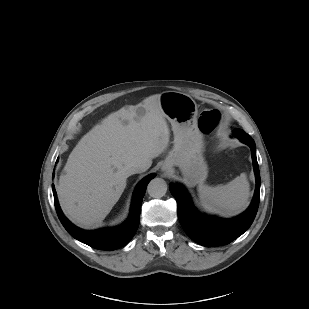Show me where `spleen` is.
I'll list each match as a JSON object with an SVG mask.
<instances>
[{"label":"spleen","mask_w":309,"mask_h":309,"mask_svg":"<svg viewBox=\"0 0 309 309\" xmlns=\"http://www.w3.org/2000/svg\"><path fill=\"white\" fill-rule=\"evenodd\" d=\"M250 187L245 174H241L226 185L208 186L200 184L198 195L204 208L222 216H233L248 206Z\"/></svg>","instance_id":"1"}]
</instances>
